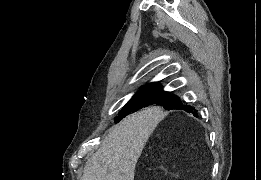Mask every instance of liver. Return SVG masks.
Instances as JSON below:
<instances>
[{
    "label": "liver",
    "instance_id": "liver-1",
    "mask_svg": "<svg viewBox=\"0 0 261 180\" xmlns=\"http://www.w3.org/2000/svg\"><path fill=\"white\" fill-rule=\"evenodd\" d=\"M158 112L159 108H145L110 128L101 148L87 160L81 180H134L137 160Z\"/></svg>",
    "mask_w": 261,
    "mask_h": 180
}]
</instances>
